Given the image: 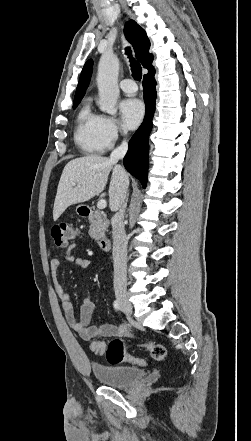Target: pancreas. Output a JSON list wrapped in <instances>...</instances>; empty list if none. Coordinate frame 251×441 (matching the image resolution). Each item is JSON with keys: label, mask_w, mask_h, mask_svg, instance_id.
<instances>
[{"label": "pancreas", "mask_w": 251, "mask_h": 441, "mask_svg": "<svg viewBox=\"0 0 251 441\" xmlns=\"http://www.w3.org/2000/svg\"><path fill=\"white\" fill-rule=\"evenodd\" d=\"M109 221L105 214L100 210H95L90 218L89 235L92 239L99 240L101 235L107 230Z\"/></svg>", "instance_id": "cf45deb5"}]
</instances>
